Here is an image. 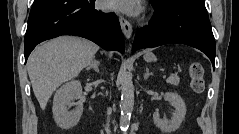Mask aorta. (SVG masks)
Listing matches in <instances>:
<instances>
[{
  "label": "aorta",
  "instance_id": "1",
  "mask_svg": "<svg viewBox=\"0 0 239 134\" xmlns=\"http://www.w3.org/2000/svg\"><path fill=\"white\" fill-rule=\"evenodd\" d=\"M121 102H120V129L126 131L130 125V118L134 107V85L130 72H124L121 82Z\"/></svg>",
  "mask_w": 239,
  "mask_h": 134
}]
</instances>
